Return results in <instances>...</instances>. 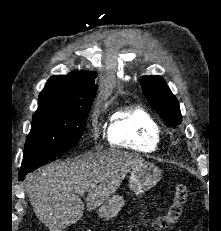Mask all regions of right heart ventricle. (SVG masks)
<instances>
[{
    "label": "right heart ventricle",
    "mask_w": 221,
    "mask_h": 231,
    "mask_svg": "<svg viewBox=\"0 0 221 231\" xmlns=\"http://www.w3.org/2000/svg\"><path fill=\"white\" fill-rule=\"evenodd\" d=\"M107 136L113 146L149 153L160 145L161 128L145 109L131 106L112 115Z\"/></svg>",
    "instance_id": "obj_1"
}]
</instances>
